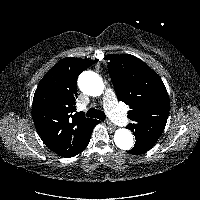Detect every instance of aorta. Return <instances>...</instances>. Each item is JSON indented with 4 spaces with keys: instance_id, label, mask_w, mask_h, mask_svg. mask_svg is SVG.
Instances as JSON below:
<instances>
[{
    "instance_id": "aorta-1",
    "label": "aorta",
    "mask_w": 200,
    "mask_h": 200,
    "mask_svg": "<svg viewBox=\"0 0 200 200\" xmlns=\"http://www.w3.org/2000/svg\"><path fill=\"white\" fill-rule=\"evenodd\" d=\"M80 90L89 96H100L104 91V83L101 77L93 71H84L78 79ZM116 146L122 150H130L133 147L134 139L130 130L121 128L114 134Z\"/></svg>"
}]
</instances>
